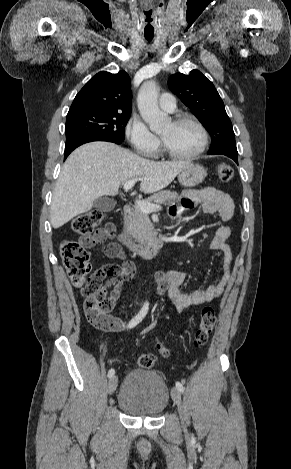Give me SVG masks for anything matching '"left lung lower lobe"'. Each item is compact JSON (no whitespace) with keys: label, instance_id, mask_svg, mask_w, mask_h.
Instances as JSON below:
<instances>
[{"label":"left lung lower lobe","instance_id":"0a47b994","mask_svg":"<svg viewBox=\"0 0 291 469\" xmlns=\"http://www.w3.org/2000/svg\"><path fill=\"white\" fill-rule=\"evenodd\" d=\"M208 154H211V153H208ZM212 154H223L225 156L232 158L238 164V153L236 152L222 151V152H217V153H212Z\"/></svg>","mask_w":291,"mask_h":469}]
</instances>
